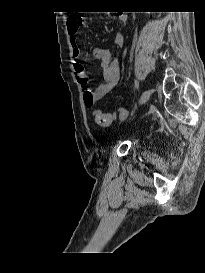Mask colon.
<instances>
[{
  "label": "colon",
  "mask_w": 205,
  "mask_h": 273,
  "mask_svg": "<svg viewBox=\"0 0 205 273\" xmlns=\"http://www.w3.org/2000/svg\"><path fill=\"white\" fill-rule=\"evenodd\" d=\"M77 19V24L79 27L82 26V20L76 17ZM129 116V111L126 108H119L114 112L111 113H104L100 110H96L94 112V119L95 122L100 125V126H109L112 124L113 121L115 120H126Z\"/></svg>",
  "instance_id": "obj_1"
}]
</instances>
